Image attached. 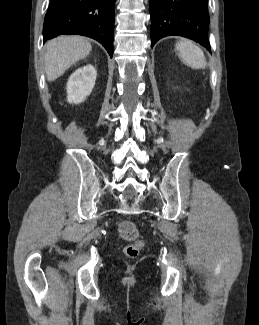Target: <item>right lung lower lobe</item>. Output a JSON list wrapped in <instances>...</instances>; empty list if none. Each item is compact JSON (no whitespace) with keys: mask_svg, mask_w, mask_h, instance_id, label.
<instances>
[{"mask_svg":"<svg viewBox=\"0 0 259 325\" xmlns=\"http://www.w3.org/2000/svg\"><path fill=\"white\" fill-rule=\"evenodd\" d=\"M115 0H51L44 20V41L79 34L99 41L113 55Z\"/></svg>","mask_w":259,"mask_h":325,"instance_id":"1","label":"right lung lower lobe"}]
</instances>
